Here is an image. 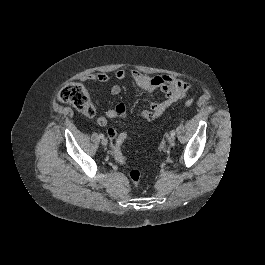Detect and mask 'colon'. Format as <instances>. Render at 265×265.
Instances as JSON below:
<instances>
[{
  "label": "colon",
  "mask_w": 265,
  "mask_h": 265,
  "mask_svg": "<svg viewBox=\"0 0 265 265\" xmlns=\"http://www.w3.org/2000/svg\"><path fill=\"white\" fill-rule=\"evenodd\" d=\"M58 99L63 103L72 105L88 117L95 116V108L89 99L87 91L80 83L72 82L64 85L58 92ZM192 104V99L185 101L187 107L192 106ZM108 135L113 140L112 153L114 158L118 163L126 164V159L122 152V146L127 138V133L122 132L117 135L114 134L112 130H108ZM129 177L132 183L135 186H138L142 178V172L138 169H133L130 171Z\"/></svg>",
  "instance_id": "5ec220e1"
}]
</instances>
